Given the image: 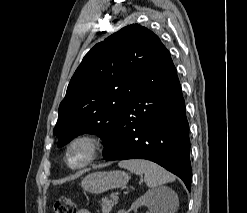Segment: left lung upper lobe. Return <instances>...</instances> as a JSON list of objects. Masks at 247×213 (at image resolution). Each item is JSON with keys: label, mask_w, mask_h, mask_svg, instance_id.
Returning <instances> with one entry per match:
<instances>
[{"label": "left lung upper lobe", "mask_w": 247, "mask_h": 213, "mask_svg": "<svg viewBox=\"0 0 247 213\" xmlns=\"http://www.w3.org/2000/svg\"><path fill=\"white\" fill-rule=\"evenodd\" d=\"M168 54L158 36L138 24L128 25L96 44L75 71L59 106L53 130L58 146L92 133L104 141L105 153L127 100L138 92L144 74Z\"/></svg>", "instance_id": "5c2ea615"}]
</instances>
